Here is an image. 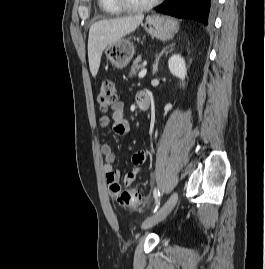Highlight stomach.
I'll return each instance as SVG.
<instances>
[{
  "instance_id": "obj_1",
  "label": "stomach",
  "mask_w": 265,
  "mask_h": 269,
  "mask_svg": "<svg viewBox=\"0 0 265 269\" xmlns=\"http://www.w3.org/2000/svg\"><path fill=\"white\" fill-rule=\"evenodd\" d=\"M144 28L152 37L169 40L178 31V24L170 17L153 15L146 19ZM135 49L127 39H119L105 49L107 59L118 69L124 68L132 59Z\"/></svg>"
}]
</instances>
